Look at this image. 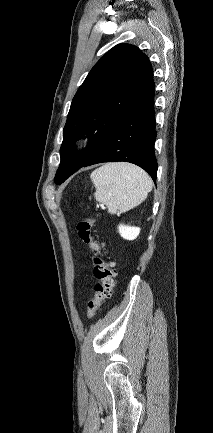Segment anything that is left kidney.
<instances>
[{"mask_svg":"<svg viewBox=\"0 0 213 433\" xmlns=\"http://www.w3.org/2000/svg\"><path fill=\"white\" fill-rule=\"evenodd\" d=\"M118 229H119V233H120L121 237H123L126 240H134L137 238V236L140 233V228L126 226V225H122V224H120Z\"/></svg>","mask_w":213,"mask_h":433,"instance_id":"obj_1","label":"left kidney"}]
</instances>
